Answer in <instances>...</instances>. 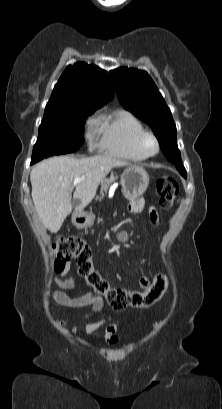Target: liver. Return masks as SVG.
Instances as JSON below:
<instances>
[{"label": "liver", "instance_id": "6515ba94", "mask_svg": "<svg viewBox=\"0 0 222 409\" xmlns=\"http://www.w3.org/2000/svg\"><path fill=\"white\" fill-rule=\"evenodd\" d=\"M121 166H129V163L110 155L80 159L59 156L37 164L30 173L31 195L43 225L51 233L59 231L73 208L72 182L75 178H84L75 185L73 193L75 211H79L93 200L106 175Z\"/></svg>", "mask_w": 222, "mask_h": 409}]
</instances>
